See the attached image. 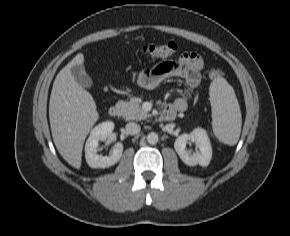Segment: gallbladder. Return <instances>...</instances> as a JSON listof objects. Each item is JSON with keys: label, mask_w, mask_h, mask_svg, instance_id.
<instances>
[{"label": "gallbladder", "mask_w": 290, "mask_h": 236, "mask_svg": "<svg viewBox=\"0 0 290 236\" xmlns=\"http://www.w3.org/2000/svg\"><path fill=\"white\" fill-rule=\"evenodd\" d=\"M71 73L76 82L84 88H91L93 81L91 77L86 73L83 65H75L71 68Z\"/></svg>", "instance_id": "obj_1"}]
</instances>
